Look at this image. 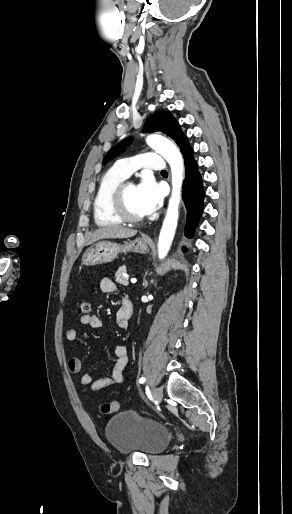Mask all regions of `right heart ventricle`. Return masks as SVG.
Here are the masks:
<instances>
[{"label":"right heart ventricle","instance_id":"1","mask_svg":"<svg viewBox=\"0 0 292 514\" xmlns=\"http://www.w3.org/2000/svg\"><path fill=\"white\" fill-rule=\"evenodd\" d=\"M126 178L121 176L114 169L106 172L93 197L92 209L94 221L98 226H110L120 223V221L108 209V195L113 188L124 182Z\"/></svg>","mask_w":292,"mask_h":514}]
</instances>
